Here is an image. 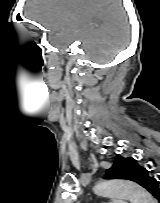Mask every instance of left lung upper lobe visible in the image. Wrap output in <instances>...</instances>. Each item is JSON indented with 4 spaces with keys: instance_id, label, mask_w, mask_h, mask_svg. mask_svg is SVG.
<instances>
[{
    "instance_id": "1",
    "label": "left lung upper lobe",
    "mask_w": 160,
    "mask_h": 203,
    "mask_svg": "<svg viewBox=\"0 0 160 203\" xmlns=\"http://www.w3.org/2000/svg\"><path fill=\"white\" fill-rule=\"evenodd\" d=\"M105 178L131 180L147 190L155 179L151 177L149 171L141 167L134 158H124L120 155L116 156L114 165L106 171Z\"/></svg>"
}]
</instances>
